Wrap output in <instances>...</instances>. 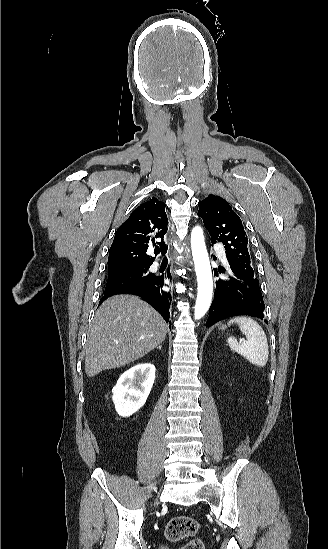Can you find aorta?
I'll return each mask as SVG.
<instances>
[{
	"label": "aorta",
	"mask_w": 328,
	"mask_h": 549,
	"mask_svg": "<svg viewBox=\"0 0 328 549\" xmlns=\"http://www.w3.org/2000/svg\"><path fill=\"white\" fill-rule=\"evenodd\" d=\"M191 249L198 283V293L194 308V318L201 319L208 311L213 296V280L210 261L200 226L191 232Z\"/></svg>",
	"instance_id": "762f6f07"
}]
</instances>
